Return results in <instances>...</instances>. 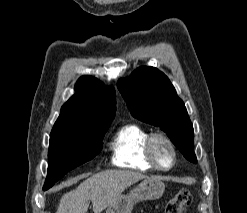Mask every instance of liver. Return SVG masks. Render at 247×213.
<instances>
[{
  "instance_id": "liver-1",
  "label": "liver",
  "mask_w": 247,
  "mask_h": 213,
  "mask_svg": "<svg viewBox=\"0 0 247 213\" xmlns=\"http://www.w3.org/2000/svg\"><path fill=\"white\" fill-rule=\"evenodd\" d=\"M147 176L126 170H106L87 178L79 186L64 194L56 213H87L90 201L94 213H101L113 204L122 192Z\"/></svg>"
}]
</instances>
